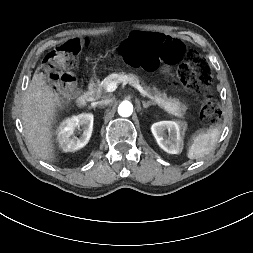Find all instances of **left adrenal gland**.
<instances>
[{"instance_id":"1","label":"left adrenal gland","mask_w":253,"mask_h":253,"mask_svg":"<svg viewBox=\"0 0 253 253\" xmlns=\"http://www.w3.org/2000/svg\"><path fill=\"white\" fill-rule=\"evenodd\" d=\"M142 105H143V108H148L149 106H151V105H154V103H152V102H150V101H148V102H145V101H142Z\"/></svg>"}]
</instances>
